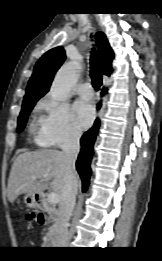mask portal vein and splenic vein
<instances>
[{
    "instance_id": "18ae733b",
    "label": "portal vein and splenic vein",
    "mask_w": 162,
    "mask_h": 261,
    "mask_svg": "<svg viewBox=\"0 0 162 261\" xmlns=\"http://www.w3.org/2000/svg\"><path fill=\"white\" fill-rule=\"evenodd\" d=\"M35 179H36L35 177H32V180H35ZM47 200L50 204H56L59 202V196H58V194L52 192V193L48 194Z\"/></svg>"
}]
</instances>
